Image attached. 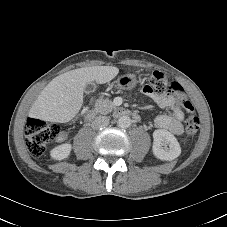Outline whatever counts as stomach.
Returning a JSON list of instances; mask_svg holds the SVG:
<instances>
[{"label": "stomach", "instance_id": "0dacf381", "mask_svg": "<svg viewBox=\"0 0 227 227\" xmlns=\"http://www.w3.org/2000/svg\"><path fill=\"white\" fill-rule=\"evenodd\" d=\"M137 82L134 74H124L115 81V87L122 90H132L136 87Z\"/></svg>", "mask_w": 227, "mask_h": 227}]
</instances>
